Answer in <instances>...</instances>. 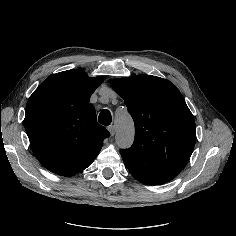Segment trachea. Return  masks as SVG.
Returning <instances> with one entry per match:
<instances>
[{"instance_id":"3493384b","label":"trachea","mask_w":236,"mask_h":236,"mask_svg":"<svg viewBox=\"0 0 236 236\" xmlns=\"http://www.w3.org/2000/svg\"><path fill=\"white\" fill-rule=\"evenodd\" d=\"M111 120H112L111 113L107 109H104L100 112V115L98 117V121L100 124L107 126L111 123Z\"/></svg>"}]
</instances>
